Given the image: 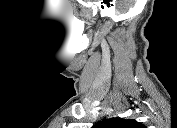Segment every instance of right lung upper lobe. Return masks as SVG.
<instances>
[{"mask_svg": "<svg viewBox=\"0 0 177 128\" xmlns=\"http://www.w3.org/2000/svg\"><path fill=\"white\" fill-rule=\"evenodd\" d=\"M98 128H144L145 126L134 119L110 118L97 125Z\"/></svg>", "mask_w": 177, "mask_h": 128, "instance_id": "1", "label": "right lung upper lobe"}]
</instances>
